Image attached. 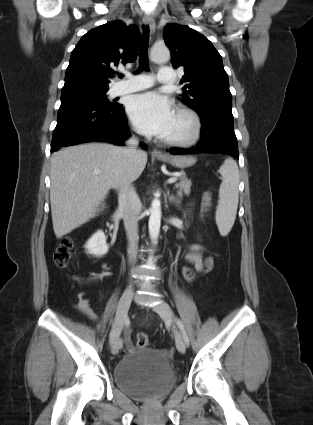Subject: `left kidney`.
I'll return each mask as SVG.
<instances>
[{"label": "left kidney", "mask_w": 313, "mask_h": 425, "mask_svg": "<svg viewBox=\"0 0 313 425\" xmlns=\"http://www.w3.org/2000/svg\"><path fill=\"white\" fill-rule=\"evenodd\" d=\"M198 248H199L198 246H193V247H192V249H198Z\"/></svg>", "instance_id": "1"}]
</instances>
